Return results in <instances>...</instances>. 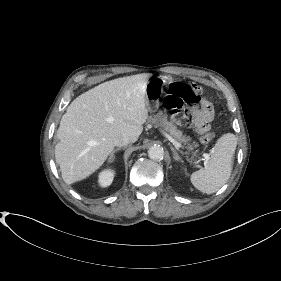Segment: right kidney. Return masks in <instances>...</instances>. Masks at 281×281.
Wrapping results in <instances>:
<instances>
[{
    "mask_svg": "<svg viewBox=\"0 0 281 281\" xmlns=\"http://www.w3.org/2000/svg\"><path fill=\"white\" fill-rule=\"evenodd\" d=\"M114 171L112 170H104L98 176V182L101 187L110 186L113 178H114Z\"/></svg>",
    "mask_w": 281,
    "mask_h": 281,
    "instance_id": "obj_1",
    "label": "right kidney"
}]
</instances>
